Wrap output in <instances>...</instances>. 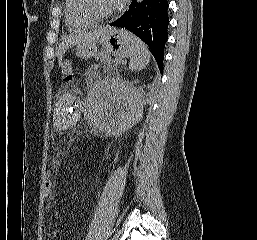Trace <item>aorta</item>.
I'll use <instances>...</instances> for the list:
<instances>
[{
  "label": "aorta",
  "instance_id": "obj_1",
  "mask_svg": "<svg viewBox=\"0 0 257 240\" xmlns=\"http://www.w3.org/2000/svg\"><path fill=\"white\" fill-rule=\"evenodd\" d=\"M137 2H141L142 0H136Z\"/></svg>",
  "mask_w": 257,
  "mask_h": 240
}]
</instances>
